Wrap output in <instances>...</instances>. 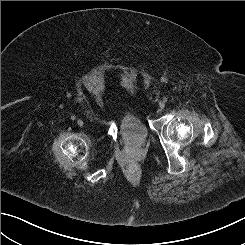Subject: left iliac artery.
Returning <instances> with one entry per match:
<instances>
[{
	"mask_svg": "<svg viewBox=\"0 0 245 245\" xmlns=\"http://www.w3.org/2000/svg\"><path fill=\"white\" fill-rule=\"evenodd\" d=\"M163 101H164V102H167V98H163Z\"/></svg>",
	"mask_w": 245,
	"mask_h": 245,
	"instance_id": "left-iliac-artery-1",
	"label": "left iliac artery"
}]
</instances>
